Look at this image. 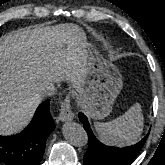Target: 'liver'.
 <instances>
[{
  "label": "liver",
  "instance_id": "6515ba94",
  "mask_svg": "<svg viewBox=\"0 0 165 165\" xmlns=\"http://www.w3.org/2000/svg\"><path fill=\"white\" fill-rule=\"evenodd\" d=\"M83 32L73 24L7 35L0 43V135L19 132L41 101L45 82L71 81L80 89L88 72ZM68 46L62 54L61 48Z\"/></svg>",
  "mask_w": 165,
  "mask_h": 165
}]
</instances>
